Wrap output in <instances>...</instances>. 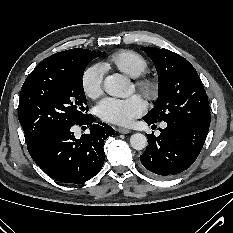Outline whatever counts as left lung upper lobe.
<instances>
[{"label":"left lung upper lobe","instance_id":"1","mask_svg":"<svg viewBox=\"0 0 233 233\" xmlns=\"http://www.w3.org/2000/svg\"><path fill=\"white\" fill-rule=\"evenodd\" d=\"M153 61L159 79V99L143 119L154 123L190 121L210 126V108L195 68L182 56L155 47L141 48Z\"/></svg>","mask_w":233,"mask_h":233}]
</instances>
